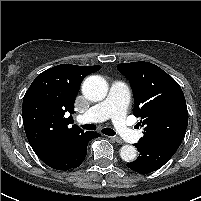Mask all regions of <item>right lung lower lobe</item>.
<instances>
[{
  "label": "right lung lower lobe",
  "mask_w": 201,
  "mask_h": 201,
  "mask_svg": "<svg viewBox=\"0 0 201 201\" xmlns=\"http://www.w3.org/2000/svg\"><path fill=\"white\" fill-rule=\"evenodd\" d=\"M99 137L96 132L86 131L76 137L67 150L57 158L44 161L46 165L57 170H68L82 164L87 154L88 142Z\"/></svg>",
  "instance_id": "1"
}]
</instances>
